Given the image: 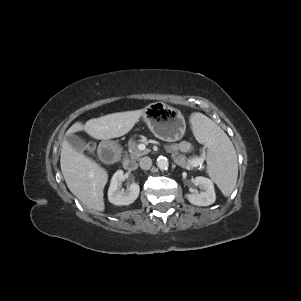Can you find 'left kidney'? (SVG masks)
Returning a JSON list of instances; mask_svg holds the SVG:
<instances>
[{"label":"left kidney","instance_id":"1","mask_svg":"<svg viewBox=\"0 0 301 301\" xmlns=\"http://www.w3.org/2000/svg\"><path fill=\"white\" fill-rule=\"evenodd\" d=\"M193 183L195 186H199L203 191L185 195V198H187L191 204L197 206H209L215 202L216 194L213 182L210 179L198 176L194 179Z\"/></svg>","mask_w":301,"mask_h":301}]
</instances>
